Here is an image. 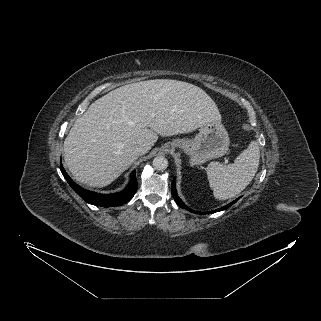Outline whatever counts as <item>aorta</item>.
Here are the masks:
<instances>
[{
  "label": "aorta",
  "instance_id": "aorta-1",
  "mask_svg": "<svg viewBox=\"0 0 321 321\" xmlns=\"http://www.w3.org/2000/svg\"><path fill=\"white\" fill-rule=\"evenodd\" d=\"M153 167L156 170H165L168 167V160L164 156H157L153 159Z\"/></svg>",
  "mask_w": 321,
  "mask_h": 321
}]
</instances>
